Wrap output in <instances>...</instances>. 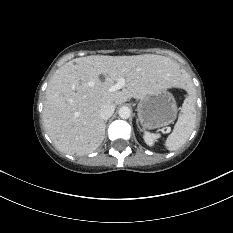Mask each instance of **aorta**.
I'll return each mask as SVG.
<instances>
[{"label": "aorta", "instance_id": "obj_1", "mask_svg": "<svg viewBox=\"0 0 233 233\" xmlns=\"http://www.w3.org/2000/svg\"><path fill=\"white\" fill-rule=\"evenodd\" d=\"M119 117L122 119H128L131 115V110L127 106H123L118 111Z\"/></svg>", "mask_w": 233, "mask_h": 233}]
</instances>
